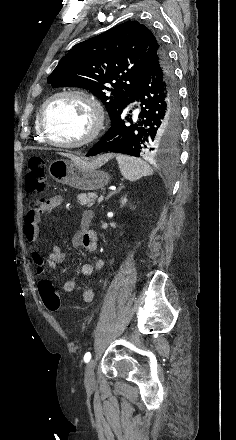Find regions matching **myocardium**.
<instances>
[{"instance_id":"myocardium-1","label":"myocardium","mask_w":236,"mask_h":440,"mask_svg":"<svg viewBox=\"0 0 236 440\" xmlns=\"http://www.w3.org/2000/svg\"><path fill=\"white\" fill-rule=\"evenodd\" d=\"M61 97H71L76 98L84 103L87 104L91 111L92 115V124L89 129V132L85 137L82 139L75 141V142H60L53 140L46 129L45 126V112L48 106L51 102H53L55 99L61 98ZM38 125L41 131V134L43 136V139L50 145L61 147V148H67V149H73V148H79L86 145L91 144L94 142L100 135V133L103 130L104 123H105V112L104 108L101 104V102L92 94L79 90V89H65L61 91H57L54 94H52L49 98L46 99V101L42 104L37 117Z\"/></svg>"}]
</instances>
